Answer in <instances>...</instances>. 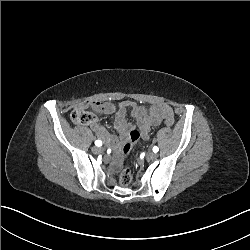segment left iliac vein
I'll return each mask as SVG.
<instances>
[{
  "label": "left iliac vein",
  "instance_id": "obj_1",
  "mask_svg": "<svg viewBox=\"0 0 250 250\" xmlns=\"http://www.w3.org/2000/svg\"><path fill=\"white\" fill-rule=\"evenodd\" d=\"M157 157H158V155H157V153H149L148 155H147V159L149 160V161H153V160H155V159H157Z\"/></svg>",
  "mask_w": 250,
  "mask_h": 250
}]
</instances>
